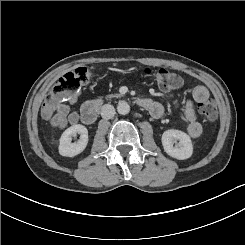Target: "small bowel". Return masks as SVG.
<instances>
[{
    "mask_svg": "<svg viewBox=\"0 0 245 245\" xmlns=\"http://www.w3.org/2000/svg\"><path fill=\"white\" fill-rule=\"evenodd\" d=\"M209 98V92L206 87L198 85L193 89L192 98L186 99L182 107V117L186 122V133L196 138L200 136L202 132V126L198 121V115L196 111V103H201ZM73 99L61 103L57 109V113L53 116L51 124L59 129L65 128L68 124H75L79 120L77 112L71 109L69 103L73 102ZM152 102V106L148 108L151 115L155 118H159L163 115L164 108L159 102Z\"/></svg>",
    "mask_w": 245,
    "mask_h": 245,
    "instance_id": "small-bowel-1",
    "label": "small bowel"
}]
</instances>
